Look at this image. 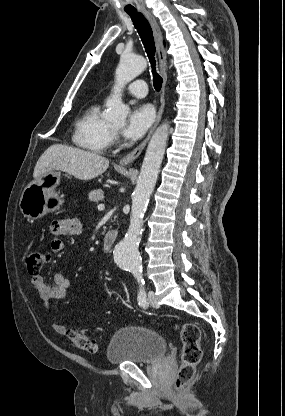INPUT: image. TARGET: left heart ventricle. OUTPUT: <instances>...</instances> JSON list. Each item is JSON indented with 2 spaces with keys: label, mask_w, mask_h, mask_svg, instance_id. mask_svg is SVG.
<instances>
[{
  "label": "left heart ventricle",
  "mask_w": 285,
  "mask_h": 416,
  "mask_svg": "<svg viewBox=\"0 0 285 416\" xmlns=\"http://www.w3.org/2000/svg\"><path fill=\"white\" fill-rule=\"evenodd\" d=\"M112 126H113V128H118V127H120L121 126V124H112Z\"/></svg>",
  "instance_id": "left-heart-ventricle-1"
}]
</instances>
